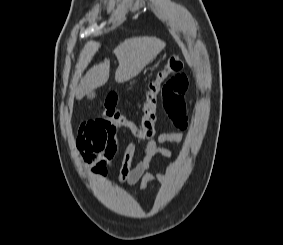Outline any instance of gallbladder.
I'll return each mask as SVG.
<instances>
[{
  "label": "gallbladder",
  "mask_w": 283,
  "mask_h": 245,
  "mask_svg": "<svg viewBox=\"0 0 283 245\" xmlns=\"http://www.w3.org/2000/svg\"><path fill=\"white\" fill-rule=\"evenodd\" d=\"M95 97V93L93 91L87 93V98L88 99H93Z\"/></svg>",
  "instance_id": "gallbladder-1"
}]
</instances>
